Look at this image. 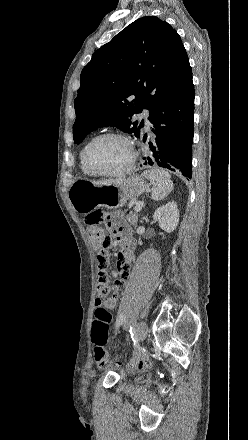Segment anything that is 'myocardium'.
<instances>
[{
    "mask_svg": "<svg viewBox=\"0 0 248 440\" xmlns=\"http://www.w3.org/2000/svg\"><path fill=\"white\" fill-rule=\"evenodd\" d=\"M105 138H119L127 143L129 150H130V158H129L127 165L123 169H121L119 171H115V172H98L92 168V166L90 164V160H89L91 149L93 148V146L97 142H99L100 140L105 139ZM136 160H137V152H136V149H135V146H134L132 139L128 135H126L122 132H119V131H108V132H104V133L97 135L88 143V145L85 149V152H84L85 167L87 168V170L89 171V173L91 175H94L97 177L124 176V175L128 174L130 171H132V169L134 168V165L136 163Z\"/></svg>",
    "mask_w": 248,
    "mask_h": 440,
    "instance_id": "myocardium-1",
    "label": "myocardium"
}]
</instances>
